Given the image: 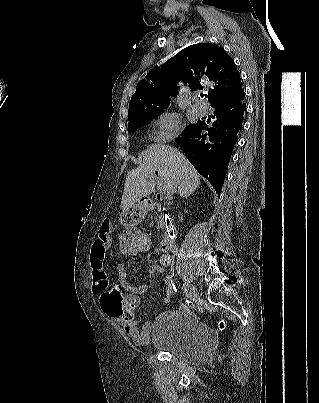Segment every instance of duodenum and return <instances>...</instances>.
<instances>
[{"instance_id":"duodenum-1","label":"duodenum","mask_w":319,"mask_h":403,"mask_svg":"<svg viewBox=\"0 0 319 403\" xmlns=\"http://www.w3.org/2000/svg\"><path fill=\"white\" fill-rule=\"evenodd\" d=\"M161 208L166 214H169L170 207L164 195L158 192L152 199H144L139 205L140 211ZM177 230L174 226L168 225L165 230V235L161 242V247L165 252H172L176 247Z\"/></svg>"}]
</instances>
